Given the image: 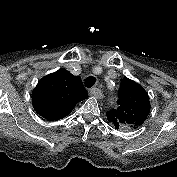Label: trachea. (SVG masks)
<instances>
[{"label": "trachea", "instance_id": "3493384b", "mask_svg": "<svg viewBox=\"0 0 177 177\" xmlns=\"http://www.w3.org/2000/svg\"><path fill=\"white\" fill-rule=\"evenodd\" d=\"M95 82H96L95 77L89 76L85 80V85L87 88H91L95 84Z\"/></svg>", "mask_w": 177, "mask_h": 177}]
</instances>
